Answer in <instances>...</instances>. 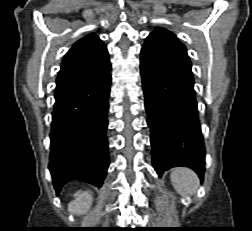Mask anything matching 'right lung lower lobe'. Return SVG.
<instances>
[{"instance_id": "1", "label": "right lung lower lobe", "mask_w": 252, "mask_h": 231, "mask_svg": "<svg viewBox=\"0 0 252 231\" xmlns=\"http://www.w3.org/2000/svg\"><path fill=\"white\" fill-rule=\"evenodd\" d=\"M110 71L55 97L51 123L49 169L57 194L69 181L101 187L109 156L106 130Z\"/></svg>"}]
</instances>
